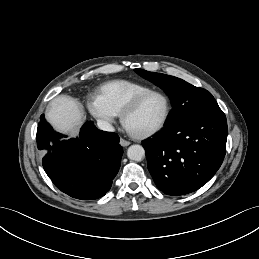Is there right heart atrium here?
Wrapping results in <instances>:
<instances>
[{"label": "right heart atrium", "instance_id": "right-heart-atrium-1", "mask_svg": "<svg viewBox=\"0 0 259 259\" xmlns=\"http://www.w3.org/2000/svg\"><path fill=\"white\" fill-rule=\"evenodd\" d=\"M91 115L104 125H111L115 115L105 106L99 96H92L87 102Z\"/></svg>", "mask_w": 259, "mask_h": 259}]
</instances>
